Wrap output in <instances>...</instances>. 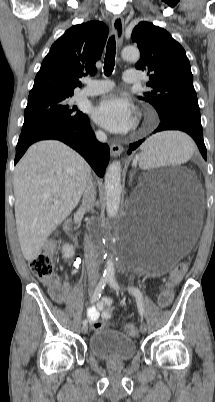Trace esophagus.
Instances as JSON below:
<instances>
[{
    "label": "esophagus",
    "instance_id": "1",
    "mask_svg": "<svg viewBox=\"0 0 215 402\" xmlns=\"http://www.w3.org/2000/svg\"><path fill=\"white\" fill-rule=\"evenodd\" d=\"M112 29L116 35L119 44L122 43L124 33V19L121 15H117L112 20ZM123 152V147L120 144L112 143L110 146V154L112 157H117Z\"/></svg>",
    "mask_w": 215,
    "mask_h": 402
}]
</instances>
